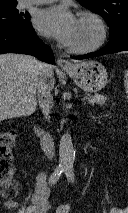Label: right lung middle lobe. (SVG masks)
<instances>
[{"instance_id":"dd1d6c3e","label":"right lung middle lobe","mask_w":128,"mask_h":213,"mask_svg":"<svg viewBox=\"0 0 128 213\" xmlns=\"http://www.w3.org/2000/svg\"><path fill=\"white\" fill-rule=\"evenodd\" d=\"M16 5L0 6V27L12 28L30 23V15L19 12Z\"/></svg>"}]
</instances>
